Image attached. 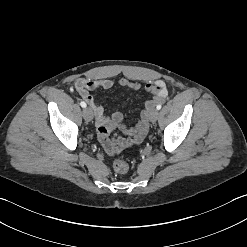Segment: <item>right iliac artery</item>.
I'll list each match as a JSON object with an SVG mask.
<instances>
[{
  "instance_id": "1",
  "label": "right iliac artery",
  "mask_w": 247,
  "mask_h": 247,
  "mask_svg": "<svg viewBox=\"0 0 247 247\" xmlns=\"http://www.w3.org/2000/svg\"><path fill=\"white\" fill-rule=\"evenodd\" d=\"M80 105H81V107H83V108H86V106H87L86 103H85L84 101H81V102H80Z\"/></svg>"
}]
</instances>
